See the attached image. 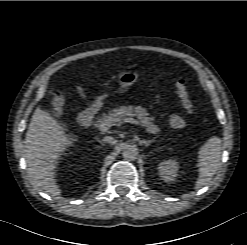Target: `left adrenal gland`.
I'll use <instances>...</instances> for the list:
<instances>
[{"label":"left adrenal gland","mask_w":247,"mask_h":245,"mask_svg":"<svg viewBox=\"0 0 247 245\" xmlns=\"http://www.w3.org/2000/svg\"><path fill=\"white\" fill-rule=\"evenodd\" d=\"M154 142V139H152V140H148V141H146V140H144L143 141V144L147 147V146H149L151 143H153Z\"/></svg>","instance_id":"1"}]
</instances>
